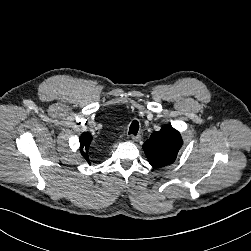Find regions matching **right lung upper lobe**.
<instances>
[{
	"instance_id": "right-lung-upper-lobe-1",
	"label": "right lung upper lobe",
	"mask_w": 251,
	"mask_h": 251,
	"mask_svg": "<svg viewBox=\"0 0 251 251\" xmlns=\"http://www.w3.org/2000/svg\"><path fill=\"white\" fill-rule=\"evenodd\" d=\"M91 140H92V136L88 132H84L80 137L81 154L88 161L89 164H90V161H89L87 152H88V147L90 145Z\"/></svg>"
}]
</instances>
